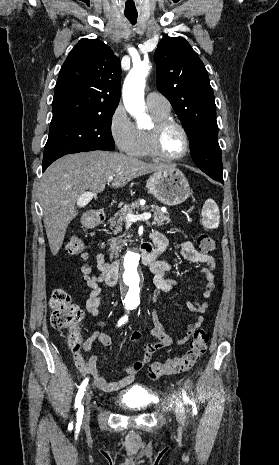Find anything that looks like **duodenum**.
<instances>
[{
	"instance_id": "obj_1",
	"label": "duodenum",
	"mask_w": 279,
	"mask_h": 465,
	"mask_svg": "<svg viewBox=\"0 0 279 465\" xmlns=\"http://www.w3.org/2000/svg\"><path fill=\"white\" fill-rule=\"evenodd\" d=\"M106 219V214L104 212H96L91 215H88L85 218V225L89 228H93L100 223H102ZM141 250V259L143 264L151 265L156 257L157 251L150 243H143L140 247ZM119 278V262H113L108 270L107 273V284L110 286H114L118 282Z\"/></svg>"
}]
</instances>
